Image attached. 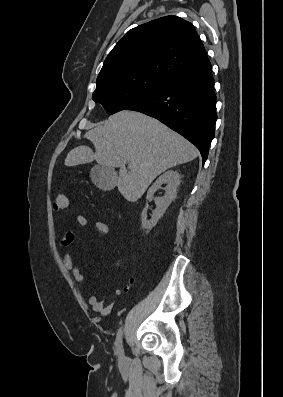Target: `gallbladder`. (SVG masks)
I'll list each match as a JSON object with an SVG mask.
<instances>
[{
  "label": "gallbladder",
  "instance_id": "bac80fb5",
  "mask_svg": "<svg viewBox=\"0 0 283 397\" xmlns=\"http://www.w3.org/2000/svg\"><path fill=\"white\" fill-rule=\"evenodd\" d=\"M91 178L98 188L104 191H110L116 186L117 174L113 168L97 165L91 170Z\"/></svg>",
  "mask_w": 283,
  "mask_h": 397
}]
</instances>
